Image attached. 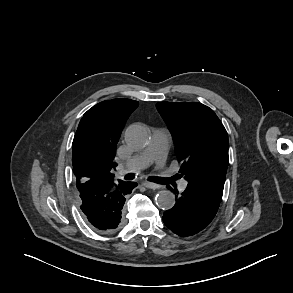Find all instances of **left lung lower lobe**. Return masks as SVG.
<instances>
[{
  "label": "left lung lower lobe",
  "instance_id": "0a47b994",
  "mask_svg": "<svg viewBox=\"0 0 293 293\" xmlns=\"http://www.w3.org/2000/svg\"><path fill=\"white\" fill-rule=\"evenodd\" d=\"M168 188L176 195L173 208L163 214L164 224L175 234L187 237L203 230L215 217L220 204L201 195L193 187L179 191Z\"/></svg>",
  "mask_w": 293,
  "mask_h": 293
}]
</instances>
